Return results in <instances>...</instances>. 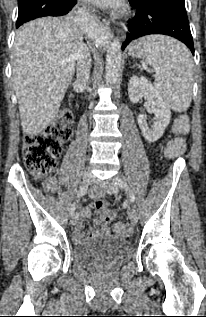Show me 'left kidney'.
<instances>
[{
    "instance_id": "5707ae66",
    "label": "left kidney",
    "mask_w": 206,
    "mask_h": 317,
    "mask_svg": "<svg viewBox=\"0 0 206 317\" xmlns=\"http://www.w3.org/2000/svg\"><path fill=\"white\" fill-rule=\"evenodd\" d=\"M129 98L137 103L143 97L147 99L149 110L155 115L154 125H148L146 115L137 118L143 136L148 142L157 141L164 133L171 119V111L158 95L155 87L145 77L133 76L128 83Z\"/></svg>"
}]
</instances>
